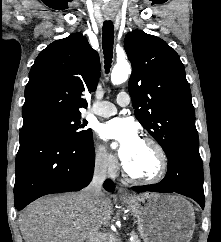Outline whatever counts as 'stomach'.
<instances>
[{"instance_id":"obj_1","label":"stomach","mask_w":221,"mask_h":242,"mask_svg":"<svg viewBox=\"0 0 221 242\" xmlns=\"http://www.w3.org/2000/svg\"><path fill=\"white\" fill-rule=\"evenodd\" d=\"M137 218L144 242H189L195 227L192 205L183 197L143 193L122 199Z\"/></svg>"}]
</instances>
